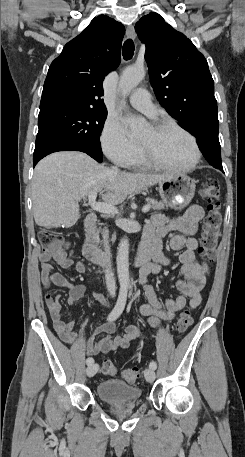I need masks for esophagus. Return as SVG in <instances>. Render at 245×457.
<instances>
[{
    "label": "esophagus",
    "instance_id": "esophagus-1",
    "mask_svg": "<svg viewBox=\"0 0 245 457\" xmlns=\"http://www.w3.org/2000/svg\"><path fill=\"white\" fill-rule=\"evenodd\" d=\"M126 35H127V38L131 39V40H134L135 39V30H134V26L133 25H129L126 29Z\"/></svg>",
    "mask_w": 245,
    "mask_h": 457
}]
</instances>
